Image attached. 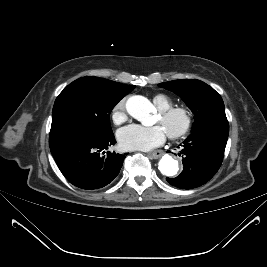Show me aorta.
<instances>
[{"label": "aorta", "instance_id": "aorta-1", "mask_svg": "<svg viewBox=\"0 0 267 267\" xmlns=\"http://www.w3.org/2000/svg\"><path fill=\"white\" fill-rule=\"evenodd\" d=\"M125 107L130 116L143 124H146L150 114L153 112L152 103L140 95L129 97ZM158 169L163 175L172 177L178 172V160L166 154L160 159Z\"/></svg>", "mask_w": 267, "mask_h": 267}]
</instances>
